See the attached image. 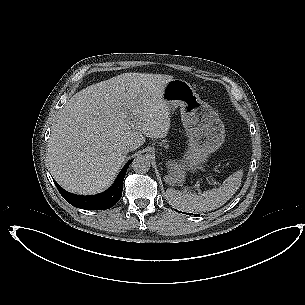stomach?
Returning <instances> with one entry per match:
<instances>
[{
    "label": "stomach",
    "mask_w": 305,
    "mask_h": 305,
    "mask_svg": "<svg viewBox=\"0 0 305 305\" xmlns=\"http://www.w3.org/2000/svg\"><path fill=\"white\" fill-rule=\"evenodd\" d=\"M161 98L171 110L180 109L181 121L189 139L183 158L169 159L166 181L172 185L185 182L188 171H195L224 141V127L215 111L196 93L190 83L174 78L167 82Z\"/></svg>",
    "instance_id": "obj_1"
}]
</instances>
